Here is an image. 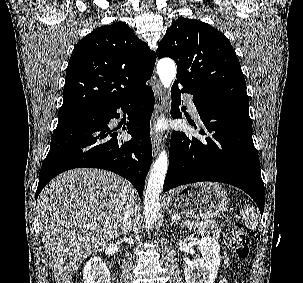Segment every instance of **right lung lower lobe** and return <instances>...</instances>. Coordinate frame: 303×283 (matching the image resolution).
Segmentation results:
<instances>
[{"instance_id": "98d812e1", "label": "right lung lower lobe", "mask_w": 303, "mask_h": 283, "mask_svg": "<svg viewBox=\"0 0 303 283\" xmlns=\"http://www.w3.org/2000/svg\"><path fill=\"white\" fill-rule=\"evenodd\" d=\"M153 108L154 93L146 86L126 100L95 111L90 119L58 122L41 167L36 199L52 178L81 167L119 174L133 184L141 197L152 162L149 124ZM117 109L128 114L124 129L132 136L129 141H123L108 125L111 119L119 118Z\"/></svg>"}]
</instances>
